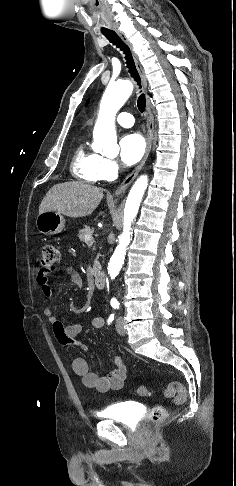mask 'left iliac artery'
<instances>
[{"instance_id": "44dca946", "label": "left iliac artery", "mask_w": 236, "mask_h": 486, "mask_svg": "<svg viewBox=\"0 0 236 486\" xmlns=\"http://www.w3.org/2000/svg\"><path fill=\"white\" fill-rule=\"evenodd\" d=\"M111 305L114 309H118L119 308V302L117 300H112L111 301Z\"/></svg>"}]
</instances>
